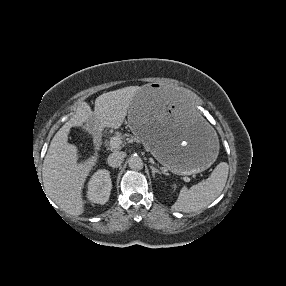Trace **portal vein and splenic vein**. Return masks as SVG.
Listing matches in <instances>:
<instances>
[{
	"mask_svg": "<svg viewBox=\"0 0 286 286\" xmlns=\"http://www.w3.org/2000/svg\"><path fill=\"white\" fill-rule=\"evenodd\" d=\"M121 140L118 138V137H113V138H111V140H110V147L112 148V149H117V148H119V146L121 145ZM183 180L185 181V182H190L191 181V178H189V177H187V176H184L183 177Z\"/></svg>",
	"mask_w": 286,
	"mask_h": 286,
	"instance_id": "portal-vein-and-splenic-vein-1",
	"label": "portal vein and splenic vein"
}]
</instances>
